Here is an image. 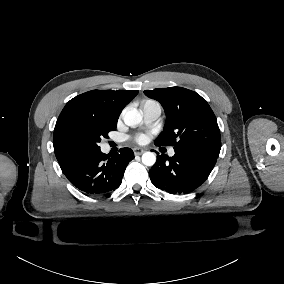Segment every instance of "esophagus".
Wrapping results in <instances>:
<instances>
[{"label": "esophagus", "mask_w": 284, "mask_h": 284, "mask_svg": "<svg viewBox=\"0 0 284 284\" xmlns=\"http://www.w3.org/2000/svg\"><path fill=\"white\" fill-rule=\"evenodd\" d=\"M133 152H134L135 155H141L145 152V149L140 148V147H135V148H133Z\"/></svg>", "instance_id": "obj_1"}]
</instances>
